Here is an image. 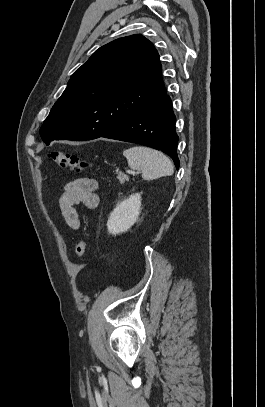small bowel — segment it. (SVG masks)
<instances>
[{"label": "small bowel", "mask_w": 265, "mask_h": 407, "mask_svg": "<svg viewBox=\"0 0 265 407\" xmlns=\"http://www.w3.org/2000/svg\"><path fill=\"white\" fill-rule=\"evenodd\" d=\"M97 188L98 182L88 177L77 178L65 185L58 208L64 223L69 228L80 229L81 221L76 210L77 205H83L88 209H95L98 206Z\"/></svg>", "instance_id": "c3829d8e"}]
</instances>
